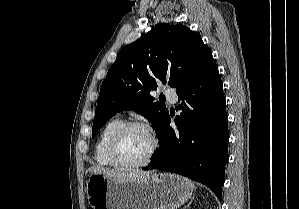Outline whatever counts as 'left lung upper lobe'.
<instances>
[{
    "label": "left lung upper lobe",
    "mask_w": 299,
    "mask_h": 209,
    "mask_svg": "<svg viewBox=\"0 0 299 209\" xmlns=\"http://www.w3.org/2000/svg\"><path fill=\"white\" fill-rule=\"evenodd\" d=\"M212 58L201 37L178 24L161 23L139 40L123 47L101 86L92 136L117 112L135 110L156 128L168 116L149 94L157 82L178 89Z\"/></svg>",
    "instance_id": "left-lung-upper-lobe-1"
}]
</instances>
